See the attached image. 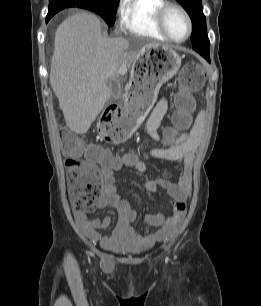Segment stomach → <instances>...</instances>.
Returning a JSON list of instances; mask_svg holds the SVG:
<instances>
[{"mask_svg": "<svg viewBox=\"0 0 261 306\" xmlns=\"http://www.w3.org/2000/svg\"><path fill=\"white\" fill-rule=\"evenodd\" d=\"M181 57L167 46L145 48L133 63L134 74L128 86L121 118L128 134L135 132L153 107L160 87L180 69Z\"/></svg>", "mask_w": 261, "mask_h": 306, "instance_id": "1", "label": "stomach"}]
</instances>
